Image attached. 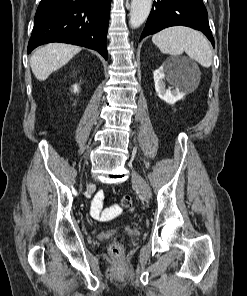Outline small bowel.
<instances>
[{"instance_id": "c3829d8e", "label": "small bowel", "mask_w": 247, "mask_h": 296, "mask_svg": "<svg viewBox=\"0 0 247 296\" xmlns=\"http://www.w3.org/2000/svg\"><path fill=\"white\" fill-rule=\"evenodd\" d=\"M102 199H103V193H99L94 199L92 204V215L95 219H98V220H105L101 218L100 215L107 214L111 211V208L105 209V210L102 209Z\"/></svg>"}]
</instances>
